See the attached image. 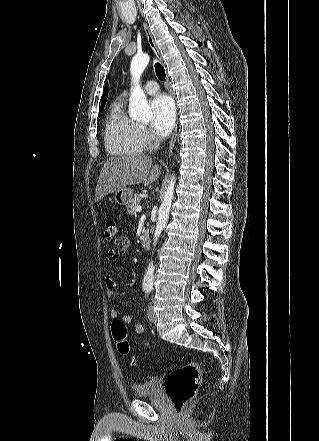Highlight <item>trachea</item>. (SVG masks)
<instances>
[{"label": "trachea", "instance_id": "trachea-1", "mask_svg": "<svg viewBox=\"0 0 319 441\" xmlns=\"http://www.w3.org/2000/svg\"><path fill=\"white\" fill-rule=\"evenodd\" d=\"M154 66H155V72H156L157 77L160 80H164L166 77L164 67L160 63H155Z\"/></svg>", "mask_w": 319, "mask_h": 441}]
</instances>
